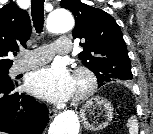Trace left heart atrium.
Instances as JSON below:
<instances>
[{"label":"left heart atrium","instance_id":"left-heart-atrium-1","mask_svg":"<svg viewBox=\"0 0 153 134\" xmlns=\"http://www.w3.org/2000/svg\"><path fill=\"white\" fill-rule=\"evenodd\" d=\"M27 88L37 97L61 103L73 96L74 78L65 65L55 63L30 73Z\"/></svg>","mask_w":153,"mask_h":134}]
</instances>
